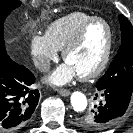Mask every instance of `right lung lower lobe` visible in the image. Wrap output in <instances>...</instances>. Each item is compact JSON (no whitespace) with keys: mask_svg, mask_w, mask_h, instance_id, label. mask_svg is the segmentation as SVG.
<instances>
[{"mask_svg":"<svg viewBox=\"0 0 133 133\" xmlns=\"http://www.w3.org/2000/svg\"><path fill=\"white\" fill-rule=\"evenodd\" d=\"M35 76L9 56L0 58V130H15L27 123L39 101L31 90Z\"/></svg>","mask_w":133,"mask_h":133,"instance_id":"right-lung-lower-lobe-1","label":"right lung lower lobe"}]
</instances>
